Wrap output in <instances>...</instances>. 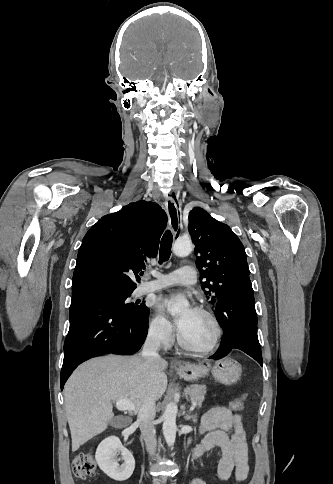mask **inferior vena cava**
I'll list each match as a JSON object with an SVG mask.
<instances>
[{
  "instance_id": "1",
  "label": "inferior vena cava",
  "mask_w": 333,
  "mask_h": 484,
  "mask_svg": "<svg viewBox=\"0 0 333 484\" xmlns=\"http://www.w3.org/2000/svg\"><path fill=\"white\" fill-rule=\"evenodd\" d=\"M160 341L159 332L150 331L143 345L141 356L146 360L160 359L158 354ZM155 415V400L151 395H146L138 411L137 422L140 425L142 437L151 456L155 454L156 446V430L153 423ZM153 484H160V482L158 479H155Z\"/></svg>"
}]
</instances>
